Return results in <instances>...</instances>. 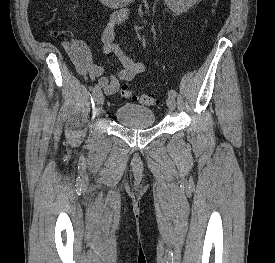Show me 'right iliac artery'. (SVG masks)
<instances>
[{
    "instance_id": "82829eb1",
    "label": "right iliac artery",
    "mask_w": 275,
    "mask_h": 263,
    "mask_svg": "<svg viewBox=\"0 0 275 263\" xmlns=\"http://www.w3.org/2000/svg\"><path fill=\"white\" fill-rule=\"evenodd\" d=\"M101 93V88L97 85L93 88V97L94 99Z\"/></svg>"
}]
</instances>
